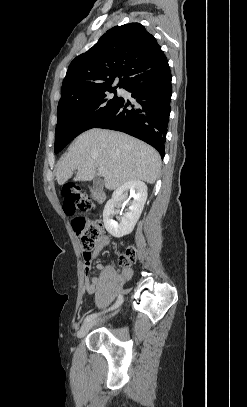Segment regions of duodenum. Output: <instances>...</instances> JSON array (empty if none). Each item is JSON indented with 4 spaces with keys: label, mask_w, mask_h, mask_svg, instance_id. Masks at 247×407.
<instances>
[{
    "label": "duodenum",
    "mask_w": 247,
    "mask_h": 407,
    "mask_svg": "<svg viewBox=\"0 0 247 407\" xmlns=\"http://www.w3.org/2000/svg\"><path fill=\"white\" fill-rule=\"evenodd\" d=\"M93 199L96 204H100L105 200V195L102 192L95 191L93 192Z\"/></svg>",
    "instance_id": "duodenum-1"
}]
</instances>
